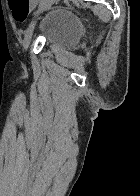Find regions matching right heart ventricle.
Masks as SVG:
<instances>
[{"label": "right heart ventricle", "instance_id": "1", "mask_svg": "<svg viewBox=\"0 0 140 196\" xmlns=\"http://www.w3.org/2000/svg\"><path fill=\"white\" fill-rule=\"evenodd\" d=\"M1 192H35V191H1Z\"/></svg>", "mask_w": 140, "mask_h": 196}]
</instances>
